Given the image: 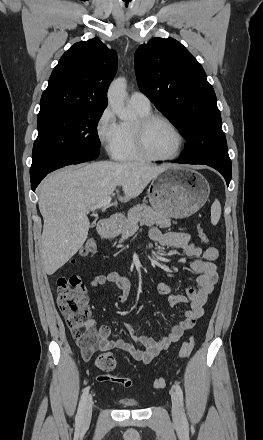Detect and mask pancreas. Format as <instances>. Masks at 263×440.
Segmentation results:
<instances>
[{"mask_svg":"<svg viewBox=\"0 0 263 440\" xmlns=\"http://www.w3.org/2000/svg\"><path fill=\"white\" fill-rule=\"evenodd\" d=\"M138 223L146 226L157 225L160 228H165L171 225V220L169 217L158 213L145 204L137 205L128 211V217L122 224V237L120 242L131 237L138 230Z\"/></svg>","mask_w":263,"mask_h":440,"instance_id":"1","label":"pancreas"}]
</instances>
